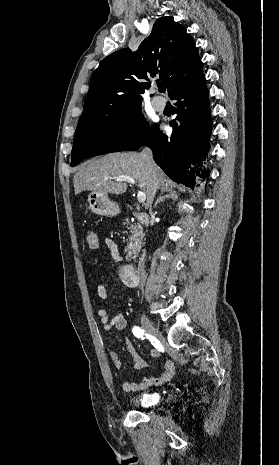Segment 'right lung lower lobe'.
<instances>
[{"mask_svg":"<svg viewBox=\"0 0 279 465\" xmlns=\"http://www.w3.org/2000/svg\"><path fill=\"white\" fill-rule=\"evenodd\" d=\"M170 97L176 100L174 113L177 114L172 134L166 136L158 130L144 145L153 150L155 162L172 180L194 186L196 176L205 178L210 174L209 170L201 174L196 170L207 156L212 127L204 74L181 86ZM138 148L132 146L127 150Z\"/></svg>","mask_w":279,"mask_h":465,"instance_id":"98d812e1","label":"right lung lower lobe"}]
</instances>
